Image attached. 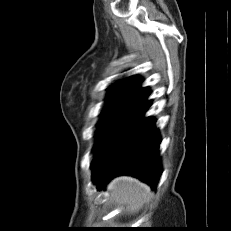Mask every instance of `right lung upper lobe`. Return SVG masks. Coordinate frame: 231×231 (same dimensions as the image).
<instances>
[{"label": "right lung upper lobe", "instance_id": "right-lung-upper-lobe-1", "mask_svg": "<svg viewBox=\"0 0 231 231\" xmlns=\"http://www.w3.org/2000/svg\"><path fill=\"white\" fill-rule=\"evenodd\" d=\"M142 80L137 76H129L110 86L108 99L124 98L149 104L150 92L147 87H141Z\"/></svg>", "mask_w": 231, "mask_h": 231}]
</instances>
